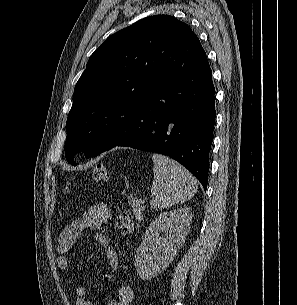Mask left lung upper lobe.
I'll return each instance as SVG.
<instances>
[{
    "label": "left lung upper lobe",
    "instance_id": "1",
    "mask_svg": "<svg viewBox=\"0 0 297 305\" xmlns=\"http://www.w3.org/2000/svg\"><path fill=\"white\" fill-rule=\"evenodd\" d=\"M209 63L191 28L169 15H155L113 34L90 56L74 88L66 122L67 161L102 152L123 134L138 105L166 81Z\"/></svg>",
    "mask_w": 297,
    "mask_h": 305
}]
</instances>
